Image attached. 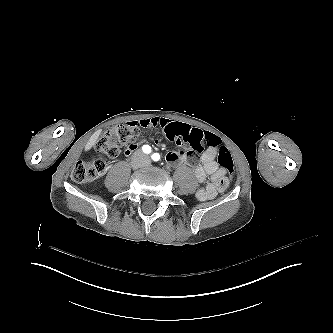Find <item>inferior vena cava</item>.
I'll use <instances>...</instances> for the list:
<instances>
[{
  "instance_id": "1",
  "label": "inferior vena cava",
  "mask_w": 333,
  "mask_h": 333,
  "mask_svg": "<svg viewBox=\"0 0 333 333\" xmlns=\"http://www.w3.org/2000/svg\"><path fill=\"white\" fill-rule=\"evenodd\" d=\"M138 154H142L143 157H145L146 159H148V158L143 154V152H142L141 150H138V151L134 152V154H133V158L136 157Z\"/></svg>"
}]
</instances>
